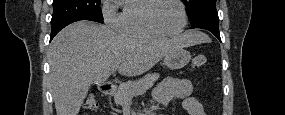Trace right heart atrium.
<instances>
[{"mask_svg":"<svg viewBox=\"0 0 285 115\" xmlns=\"http://www.w3.org/2000/svg\"><path fill=\"white\" fill-rule=\"evenodd\" d=\"M119 12L116 6V2L113 0L104 1L103 4V17L105 21L113 27H117V19L119 17Z\"/></svg>","mask_w":285,"mask_h":115,"instance_id":"1","label":"right heart atrium"}]
</instances>
